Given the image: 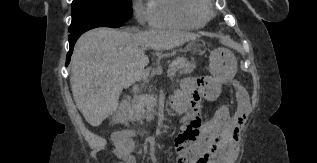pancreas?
Listing matches in <instances>:
<instances>
[{"instance_id":"1","label":"pancreas","mask_w":317,"mask_h":163,"mask_svg":"<svg viewBox=\"0 0 317 163\" xmlns=\"http://www.w3.org/2000/svg\"><path fill=\"white\" fill-rule=\"evenodd\" d=\"M195 67L196 66L192 61H189L184 57H177L170 64L169 69L180 71L182 74H190ZM156 104L157 99L153 94L136 96L125 115V120L136 122L141 125L143 124L144 119L150 122L154 119L153 114L156 113Z\"/></svg>"}]
</instances>
